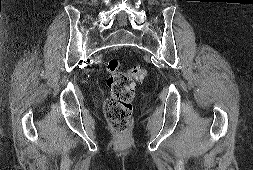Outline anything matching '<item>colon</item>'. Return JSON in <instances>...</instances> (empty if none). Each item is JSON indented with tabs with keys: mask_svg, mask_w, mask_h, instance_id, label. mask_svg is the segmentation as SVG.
Instances as JSON below:
<instances>
[{
	"mask_svg": "<svg viewBox=\"0 0 253 170\" xmlns=\"http://www.w3.org/2000/svg\"><path fill=\"white\" fill-rule=\"evenodd\" d=\"M107 74L110 96L104 104L105 115L113 131L120 139H123L132 123L135 81L145 80L148 73L143 67H132L122 71L120 62L117 59H111L107 64Z\"/></svg>",
	"mask_w": 253,
	"mask_h": 170,
	"instance_id": "colon-1",
	"label": "colon"
}]
</instances>
